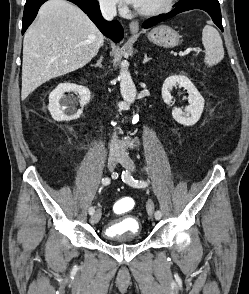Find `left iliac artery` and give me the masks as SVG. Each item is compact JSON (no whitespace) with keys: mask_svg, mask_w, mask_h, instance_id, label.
Here are the masks:
<instances>
[{"mask_svg":"<svg viewBox=\"0 0 249 294\" xmlns=\"http://www.w3.org/2000/svg\"><path fill=\"white\" fill-rule=\"evenodd\" d=\"M122 180L125 183H127V184H129L131 186H134V187H138V188H144V187H146L148 185L147 182H145V181L135 180L127 171L126 172H123V174H122ZM161 216H162L161 212L159 210H157L155 212V218L157 220H159L161 218Z\"/></svg>","mask_w":249,"mask_h":294,"instance_id":"44dca946","label":"left iliac artery"}]
</instances>
